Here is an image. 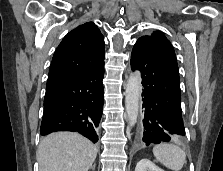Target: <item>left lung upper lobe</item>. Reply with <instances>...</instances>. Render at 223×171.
I'll use <instances>...</instances> for the list:
<instances>
[{"instance_id": "obj_1", "label": "left lung upper lobe", "mask_w": 223, "mask_h": 171, "mask_svg": "<svg viewBox=\"0 0 223 171\" xmlns=\"http://www.w3.org/2000/svg\"><path fill=\"white\" fill-rule=\"evenodd\" d=\"M137 42L145 43L156 48L177 66V60L173 46L160 31L154 32L151 36H142L138 39Z\"/></svg>"}]
</instances>
